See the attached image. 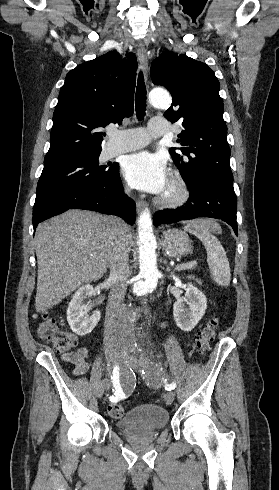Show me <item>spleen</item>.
<instances>
[{
  "label": "spleen",
  "instance_id": "1",
  "mask_svg": "<svg viewBox=\"0 0 279 490\" xmlns=\"http://www.w3.org/2000/svg\"><path fill=\"white\" fill-rule=\"evenodd\" d=\"M184 230L190 232V234H194V236H197V238L201 240L207 252V262L214 278V282H216L218 286L227 288L231 278L230 264L223 246H221L217 238L211 234V232L221 234L219 224H216L213 220H191V222H188L187 226H185Z\"/></svg>",
  "mask_w": 279,
  "mask_h": 490
}]
</instances>
